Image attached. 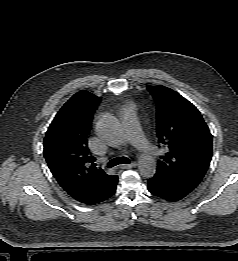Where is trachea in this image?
<instances>
[{
  "label": "trachea",
  "instance_id": "obj_1",
  "mask_svg": "<svg viewBox=\"0 0 238 261\" xmlns=\"http://www.w3.org/2000/svg\"><path fill=\"white\" fill-rule=\"evenodd\" d=\"M129 163H130V160L127 157H118V158L111 159L108 162V167L111 168V167L117 166L119 164H129Z\"/></svg>",
  "mask_w": 238,
  "mask_h": 261
}]
</instances>
